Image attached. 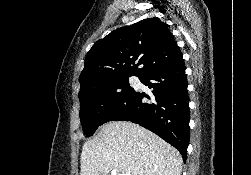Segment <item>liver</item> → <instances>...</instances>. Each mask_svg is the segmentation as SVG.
<instances>
[{
  "instance_id": "obj_1",
  "label": "liver",
  "mask_w": 251,
  "mask_h": 175,
  "mask_svg": "<svg viewBox=\"0 0 251 175\" xmlns=\"http://www.w3.org/2000/svg\"><path fill=\"white\" fill-rule=\"evenodd\" d=\"M80 175H181L182 157L170 143L131 121L102 125L94 139L85 141Z\"/></svg>"
}]
</instances>
